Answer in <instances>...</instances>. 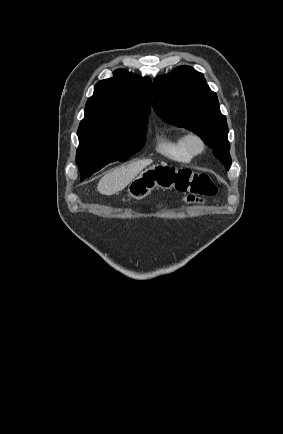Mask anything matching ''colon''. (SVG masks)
Masks as SVG:
<instances>
[{"label":"colon","mask_w":283,"mask_h":434,"mask_svg":"<svg viewBox=\"0 0 283 434\" xmlns=\"http://www.w3.org/2000/svg\"><path fill=\"white\" fill-rule=\"evenodd\" d=\"M155 188L175 189L200 197H211L217 193L215 181L206 173L157 165L144 171L132 182L129 196L142 199Z\"/></svg>","instance_id":"5ec220e1"}]
</instances>
